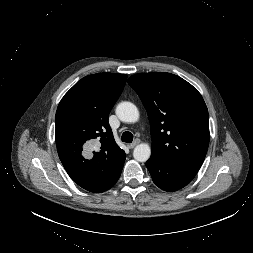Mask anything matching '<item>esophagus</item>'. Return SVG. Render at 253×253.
I'll list each match as a JSON object with an SVG mask.
<instances>
[{"mask_svg":"<svg viewBox=\"0 0 253 253\" xmlns=\"http://www.w3.org/2000/svg\"><path fill=\"white\" fill-rule=\"evenodd\" d=\"M140 143L139 139L134 140L131 144L128 145L130 149H133L135 146H137Z\"/></svg>","mask_w":253,"mask_h":253,"instance_id":"34e87169","label":"esophagus"}]
</instances>
